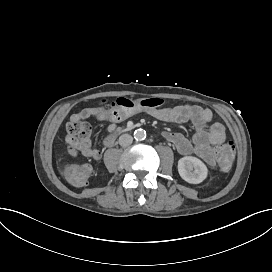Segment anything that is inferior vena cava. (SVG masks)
<instances>
[{"label":"inferior vena cava","instance_id":"602c4592","mask_svg":"<svg viewBox=\"0 0 272 272\" xmlns=\"http://www.w3.org/2000/svg\"><path fill=\"white\" fill-rule=\"evenodd\" d=\"M133 142V137L130 134H122L119 137V144L123 147L131 145Z\"/></svg>","mask_w":272,"mask_h":272}]
</instances>
